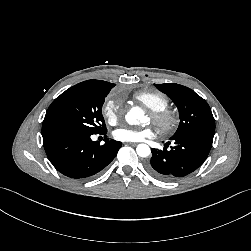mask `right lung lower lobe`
<instances>
[{
    "mask_svg": "<svg viewBox=\"0 0 251 251\" xmlns=\"http://www.w3.org/2000/svg\"><path fill=\"white\" fill-rule=\"evenodd\" d=\"M107 130L99 134H106ZM92 134L54 132L43 136L46 154L63 175L84 180L104 169L117 155L121 142L105 139V144L91 140ZM106 137V136H105Z\"/></svg>",
    "mask_w": 251,
    "mask_h": 251,
    "instance_id": "1",
    "label": "right lung lower lobe"
}]
</instances>
